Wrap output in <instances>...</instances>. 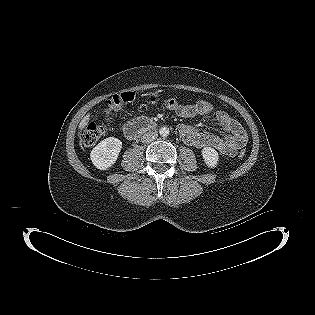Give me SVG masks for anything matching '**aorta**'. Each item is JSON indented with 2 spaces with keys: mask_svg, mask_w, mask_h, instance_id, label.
<instances>
[{
  "mask_svg": "<svg viewBox=\"0 0 315 315\" xmlns=\"http://www.w3.org/2000/svg\"><path fill=\"white\" fill-rule=\"evenodd\" d=\"M169 133H170V130L167 127H161L160 130H159V134L162 137H167L169 135Z\"/></svg>",
  "mask_w": 315,
  "mask_h": 315,
  "instance_id": "aorta-1",
  "label": "aorta"
}]
</instances>
